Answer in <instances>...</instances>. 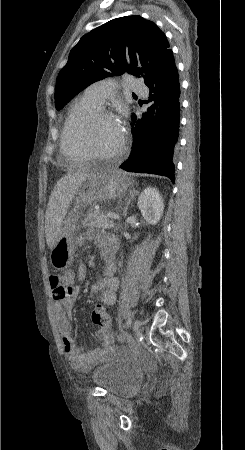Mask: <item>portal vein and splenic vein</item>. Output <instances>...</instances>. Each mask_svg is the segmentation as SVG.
Wrapping results in <instances>:
<instances>
[{"label":"portal vein and splenic vein","mask_w":245,"mask_h":450,"mask_svg":"<svg viewBox=\"0 0 245 450\" xmlns=\"http://www.w3.org/2000/svg\"><path fill=\"white\" fill-rule=\"evenodd\" d=\"M107 216L109 218H111V219H114V220H118L119 219V216L117 214L113 213V212H108Z\"/></svg>","instance_id":"18ae733b"}]
</instances>
